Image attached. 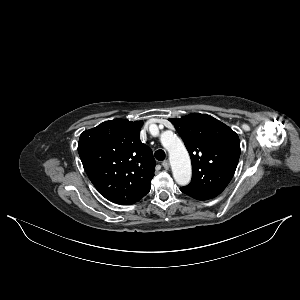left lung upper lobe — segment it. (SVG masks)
<instances>
[{
	"label": "left lung upper lobe",
	"instance_id": "obj_1",
	"mask_svg": "<svg viewBox=\"0 0 300 300\" xmlns=\"http://www.w3.org/2000/svg\"><path fill=\"white\" fill-rule=\"evenodd\" d=\"M169 121L191 157L192 180L185 188L216 197L226 188L236 170L241 152L238 135L206 114H190Z\"/></svg>",
	"mask_w": 300,
	"mask_h": 300
}]
</instances>
